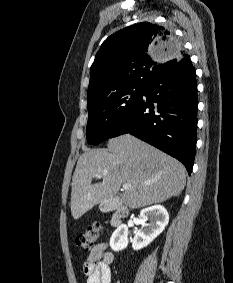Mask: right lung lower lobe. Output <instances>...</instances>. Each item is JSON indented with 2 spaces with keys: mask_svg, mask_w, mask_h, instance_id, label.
Instances as JSON below:
<instances>
[{
  "mask_svg": "<svg viewBox=\"0 0 233 283\" xmlns=\"http://www.w3.org/2000/svg\"><path fill=\"white\" fill-rule=\"evenodd\" d=\"M197 107L195 68L190 57L185 56L148 84L110 138L130 133L177 158L190 175L196 147Z\"/></svg>",
  "mask_w": 233,
  "mask_h": 283,
  "instance_id": "1",
  "label": "right lung lower lobe"
}]
</instances>
